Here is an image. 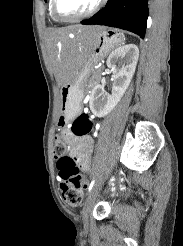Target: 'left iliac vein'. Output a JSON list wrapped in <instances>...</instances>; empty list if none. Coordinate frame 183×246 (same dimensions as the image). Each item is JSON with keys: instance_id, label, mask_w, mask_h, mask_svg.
<instances>
[{"instance_id": "4c4485c4", "label": "left iliac vein", "mask_w": 183, "mask_h": 246, "mask_svg": "<svg viewBox=\"0 0 183 246\" xmlns=\"http://www.w3.org/2000/svg\"><path fill=\"white\" fill-rule=\"evenodd\" d=\"M99 189H100V185L99 184L95 185L91 189V191H90V193H89V195L87 197V200H86V202L84 204L83 211H82V217H83L84 226L86 228L88 227L89 214H90V211H91V209L93 207L95 199H96V197L98 195Z\"/></svg>"}]
</instances>
